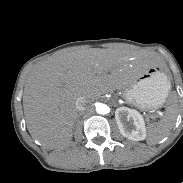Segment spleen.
<instances>
[{"mask_svg": "<svg viewBox=\"0 0 183 183\" xmlns=\"http://www.w3.org/2000/svg\"><path fill=\"white\" fill-rule=\"evenodd\" d=\"M135 89L147 90V84L144 81H140ZM177 118V97L172 96L169 99V106L166 108L162 119L157 122L150 124L148 127V145H155L164 139L169 132L172 130Z\"/></svg>", "mask_w": 183, "mask_h": 183, "instance_id": "3e777b00", "label": "spleen"}]
</instances>
